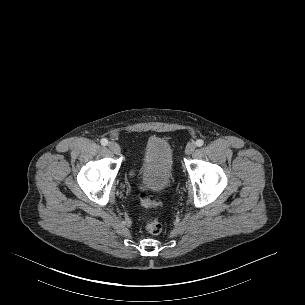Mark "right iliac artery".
<instances>
[{
  "instance_id": "82829eb1",
  "label": "right iliac artery",
  "mask_w": 305,
  "mask_h": 305,
  "mask_svg": "<svg viewBox=\"0 0 305 305\" xmlns=\"http://www.w3.org/2000/svg\"><path fill=\"white\" fill-rule=\"evenodd\" d=\"M100 142L103 146H106L108 144V140L106 138H102Z\"/></svg>"
}]
</instances>
